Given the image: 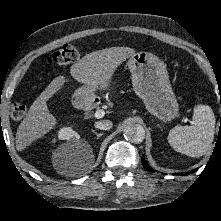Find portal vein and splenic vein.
Listing matches in <instances>:
<instances>
[{"mask_svg":"<svg viewBox=\"0 0 221 221\" xmlns=\"http://www.w3.org/2000/svg\"><path fill=\"white\" fill-rule=\"evenodd\" d=\"M105 115V112H104V110H97L96 112H95V114H94V117L96 118V119H100V118H102L103 116Z\"/></svg>","mask_w":221,"mask_h":221,"instance_id":"obj_1","label":"portal vein and splenic vein"}]
</instances>
